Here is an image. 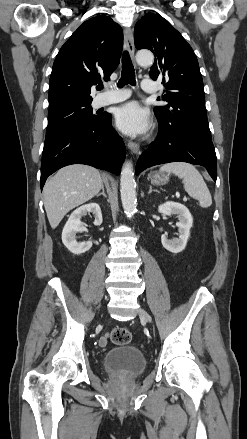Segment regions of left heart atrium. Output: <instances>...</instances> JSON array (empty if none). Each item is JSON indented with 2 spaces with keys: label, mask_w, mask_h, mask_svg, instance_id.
I'll return each mask as SVG.
<instances>
[{
  "label": "left heart atrium",
  "mask_w": 247,
  "mask_h": 439,
  "mask_svg": "<svg viewBox=\"0 0 247 439\" xmlns=\"http://www.w3.org/2000/svg\"><path fill=\"white\" fill-rule=\"evenodd\" d=\"M116 126L127 135H143L150 128V116L146 109L136 102L119 107L115 114Z\"/></svg>",
  "instance_id": "obj_1"
}]
</instances>
